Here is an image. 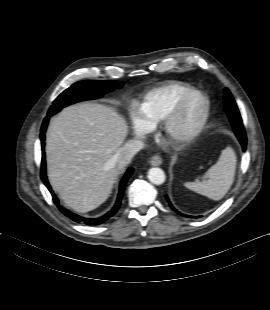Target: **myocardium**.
<instances>
[{
    "instance_id": "obj_1",
    "label": "myocardium",
    "mask_w": 270,
    "mask_h": 310,
    "mask_svg": "<svg viewBox=\"0 0 270 310\" xmlns=\"http://www.w3.org/2000/svg\"><path fill=\"white\" fill-rule=\"evenodd\" d=\"M194 99L200 104V109L195 122L182 130L176 128L177 121L183 113L186 106ZM210 112V100L201 90L191 89L184 93L173 104L168 114L161 122L163 140L175 147L181 148L195 141L203 132Z\"/></svg>"
}]
</instances>
